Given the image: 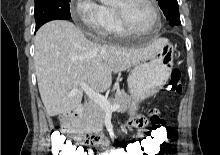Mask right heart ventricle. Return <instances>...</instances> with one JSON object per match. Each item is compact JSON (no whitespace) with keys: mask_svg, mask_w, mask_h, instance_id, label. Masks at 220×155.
Masks as SVG:
<instances>
[{"mask_svg":"<svg viewBox=\"0 0 220 155\" xmlns=\"http://www.w3.org/2000/svg\"><path fill=\"white\" fill-rule=\"evenodd\" d=\"M107 15V28L104 35L110 37H124L128 33L121 26L113 7H104Z\"/></svg>","mask_w":220,"mask_h":155,"instance_id":"obj_1","label":"right heart ventricle"}]
</instances>
